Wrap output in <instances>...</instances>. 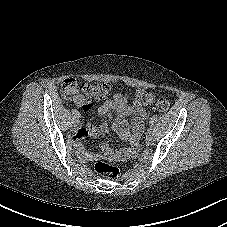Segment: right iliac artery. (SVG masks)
Instances as JSON below:
<instances>
[{
    "label": "right iliac artery",
    "mask_w": 227,
    "mask_h": 227,
    "mask_svg": "<svg viewBox=\"0 0 227 227\" xmlns=\"http://www.w3.org/2000/svg\"><path fill=\"white\" fill-rule=\"evenodd\" d=\"M79 118H73V125H78Z\"/></svg>",
    "instance_id": "obj_1"
}]
</instances>
